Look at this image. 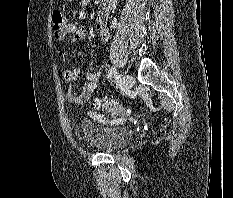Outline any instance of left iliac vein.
<instances>
[{"instance_id": "obj_1", "label": "left iliac vein", "mask_w": 233, "mask_h": 198, "mask_svg": "<svg viewBox=\"0 0 233 198\" xmlns=\"http://www.w3.org/2000/svg\"><path fill=\"white\" fill-rule=\"evenodd\" d=\"M135 83V79L132 75L130 74H125L122 77V86L125 90H129L133 87Z\"/></svg>"}]
</instances>
